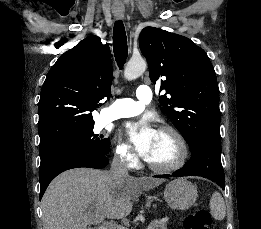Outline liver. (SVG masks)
Masks as SVG:
<instances>
[{"label": "liver", "instance_id": "obj_1", "mask_svg": "<svg viewBox=\"0 0 261 229\" xmlns=\"http://www.w3.org/2000/svg\"><path fill=\"white\" fill-rule=\"evenodd\" d=\"M162 183L163 179L151 177L118 179L108 171L70 169L43 195V229H87L88 223H102L106 217L125 219L142 191Z\"/></svg>", "mask_w": 261, "mask_h": 229}]
</instances>
